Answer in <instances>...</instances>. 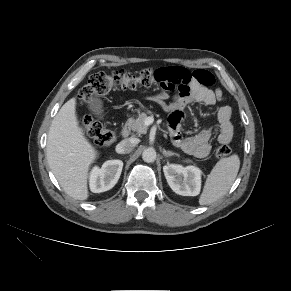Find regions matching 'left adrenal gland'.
Masks as SVG:
<instances>
[{
    "label": "left adrenal gland",
    "instance_id": "1",
    "mask_svg": "<svg viewBox=\"0 0 291 291\" xmlns=\"http://www.w3.org/2000/svg\"><path fill=\"white\" fill-rule=\"evenodd\" d=\"M163 155L165 156V157H169V156H178V154L177 153H174V152H171V151H166V150H163Z\"/></svg>",
    "mask_w": 291,
    "mask_h": 291
}]
</instances>
